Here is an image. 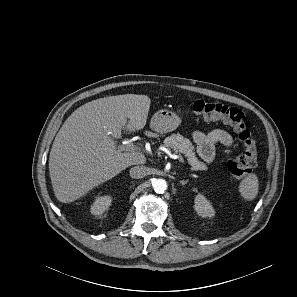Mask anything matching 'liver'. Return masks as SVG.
<instances>
[{"mask_svg": "<svg viewBox=\"0 0 297 297\" xmlns=\"http://www.w3.org/2000/svg\"><path fill=\"white\" fill-rule=\"evenodd\" d=\"M151 100L124 94L99 98L77 108L57 133L49 156L54 194L73 202L132 165L146 163L142 153L120 152L115 139L122 130L144 128Z\"/></svg>", "mask_w": 297, "mask_h": 297, "instance_id": "liver-1", "label": "liver"}]
</instances>
